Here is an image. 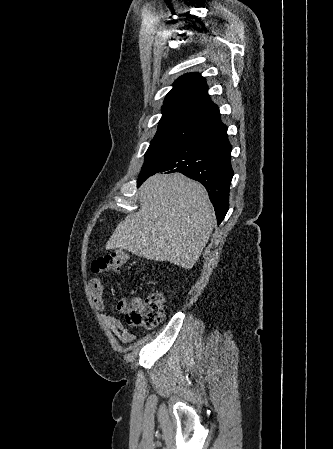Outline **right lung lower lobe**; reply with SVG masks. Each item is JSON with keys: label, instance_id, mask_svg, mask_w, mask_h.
Listing matches in <instances>:
<instances>
[{"label": "right lung lower lobe", "instance_id": "obj_1", "mask_svg": "<svg viewBox=\"0 0 333 449\" xmlns=\"http://www.w3.org/2000/svg\"><path fill=\"white\" fill-rule=\"evenodd\" d=\"M231 150L227 126L220 121L175 149L150 172L139 178L137 186L155 173L181 172L204 185L220 224L228 211L229 187L234 174Z\"/></svg>", "mask_w": 333, "mask_h": 449}]
</instances>
